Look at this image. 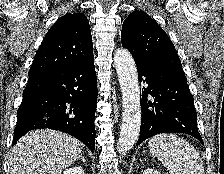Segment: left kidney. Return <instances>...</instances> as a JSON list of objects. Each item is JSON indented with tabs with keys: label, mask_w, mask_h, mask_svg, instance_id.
Listing matches in <instances>:
<instances>
[{
	"label": "left kidney",
	"mask_w": 224,
	"mask_h": 174,
	"mask_svg": "<svg viewBox=\"0 0 224 174\" xmlns=\"http://www.w3.org/2000/svg\"><path fill=\"white\" fill-rule=\"evenodd\" d=\"M143 174H161V173L155 169L147 168L144 170Z\"/></svg>",
	"instance_id": "left-kidney-1"
}]
</instances>
